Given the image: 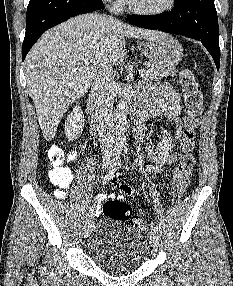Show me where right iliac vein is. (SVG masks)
Segmentation results:
<instances>
[{"instance_id": "obj_1", "label": "right iliac vein", "mask_w": 233, "mask_h": 286, "mask_svg": "<svg viewBox=\"0 0 233 286\" xmlns=\"http://www.w3.org/2000/svg\"><path fill=\"white\" fill-rule=\"evenodd\" d=\"M110 163H111L110 159H106L103 162V166L105 168H108L110 166ZM93 226H94V222L92 220L87 223V225L85 226V229H84L85 237H88L91 234Z\"/></svg>"}]
</instances>
